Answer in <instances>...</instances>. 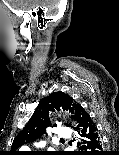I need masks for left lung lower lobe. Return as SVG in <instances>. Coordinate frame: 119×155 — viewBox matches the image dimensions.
<instances>
[{
  "instance_id": "1",
  "label": "left lung lower lobe",
  "mask_w": 119,
  "mask_h": 155,
  "mask_svg": "<svg viewBox=\"0 0 119 155\" xmlns=\"http://www.w3.org/2000/svg\"><path fill=\"white\" fill-rule=\"evenodd\" d=\"M74 119L78 124L76 129H79L82 137L81 142L78 143L81 145L80 149L82 151L78 155H102L101 141L97 128L89 114L80 104L76 106Z\"/></svg>"
}]
</instances>
